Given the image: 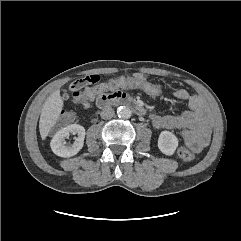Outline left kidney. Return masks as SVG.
Wrapping results in <instances>:
<instances>
[{
    "label": "left kidney",
    "instance_id": "5707ae66",
    "mask_svg": "<svg viewBox=\"0 0 241 241\" xmlns=\"http://www.w3.org/2000/svg\"><path fill=\"white\" fill-rule=\"evenodd\" d=\"M178 147L177 137L169 131H162L158 138V148L165 155H173Z\"/></svg>",
    "mask_w": 241,
    "mask_h": 241
}]
</instances>
